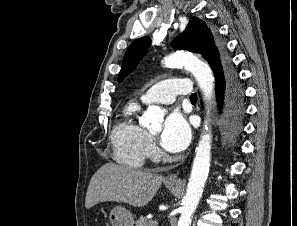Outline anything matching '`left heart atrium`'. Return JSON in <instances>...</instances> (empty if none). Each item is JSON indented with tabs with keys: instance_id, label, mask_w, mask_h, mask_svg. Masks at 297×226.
I'll return each instance as SVG.
<instances>
[{
	"instance_id": "39dd6f15",
	"label": "left heart atrium",
	"mask_w": 297,
	"mask_h": 226,
	"mask_svg": "<svg viewBox=\"0 0 297 226\" xmlns=\"http://www.w3.org/2000/svg\"><path fill=\"white\" fill-rule=\"evenodd\" d=\"M191 139L190 126L179 112H172L165 120L160 137L161 146L169 152L184 150Z\"/></svg>"
}]
</instances>
